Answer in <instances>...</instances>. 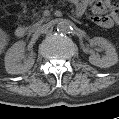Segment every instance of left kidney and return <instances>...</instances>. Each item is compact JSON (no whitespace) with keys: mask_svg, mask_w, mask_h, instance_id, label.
<instances>
[{"mask_svg":"<svg viewBox=\"0 0 119 119\" xmlns=\"http://www.w3.org/2000/svg\"><path fill=\"white\" fill-rule=\"evenodd\" d=\"M92 44L99 45L105 49V55L100 57L98 54H91L89 62L100 68H108L115 65L118 62V55L116 49L112 43L103 37H94Z\"/></svg>","mask_w":119,"mask_h":119,"instance_id":"left-kidney-1","label":"left kidney"}]
</instances>
